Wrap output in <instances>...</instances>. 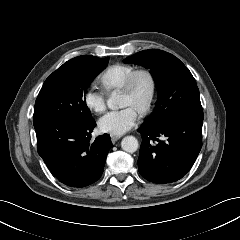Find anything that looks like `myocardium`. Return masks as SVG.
<instances>
[{"label":"myocardium","mask_w":240,"mask_h":240,"mask_svg":"<svg viewBox=\"0 0 240 240\" xmlns=\"http://www.w3.org/2000/svg\"><path fill=\"white\" fill-rule=\"evenodd\" d=\"M141 76L147 77L149 82H150L149 97L147 99L146 104L138 112L139 115L144 116L152 110V108L155 104L156 98H157V94H158V83H157V79H156V76L154 75V73L151 70L146 69V68L135 69L128 76V78H127L125 84L123 85V87L121 88L120 92L121 93H127V94L132 93L135 89L137 80Z\"/></svg>","instance_id":"1"}]
</instances>
